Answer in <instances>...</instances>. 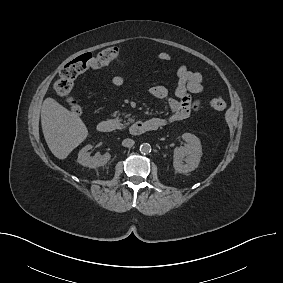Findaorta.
I'll use <instances>...</instances> for the list:
<instances>
[{
	"instance_id": "1",
	"label": "aorta",
	"mask_w": 283,
	"mask_h": 283,
	"mask_svg": "<svg viewBox=\"0 0 283 283\" xmlns=\"http://www.w3.org/2000/svg\"><path fill=\"white\" fill-rule=\"evenodd\" d=\"M139 150L142 154H148L151 152V145L149 143H142Z\"/></svg>"
}]
</instances>
